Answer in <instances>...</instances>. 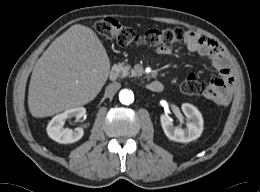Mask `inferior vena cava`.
<instances>
[{
    "label": "inferior vena cava",
    "instance_id": "1",
    "mask_svg": "<svg viewBox=\"0 0 260 192\" xmlns=\"http://www.w3.org/2000/svg\"><path fill=\"white\" fill-rule=\"evenodd\" d=\"M120 87H121V84L118 82H113V83L109 84L106 87L105 95L107 97H113L114 94L120 89Z\"/></svg>",
    "mask_w": 260,
    "mask_h": 192
}]
</instances>
